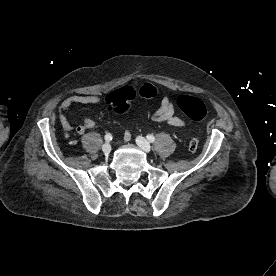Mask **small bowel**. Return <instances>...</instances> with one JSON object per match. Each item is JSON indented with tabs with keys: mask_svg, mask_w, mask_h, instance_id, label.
Masks as SVG:
<instances>
[{
	"mask_svg": "<svg viewBox=\"0 0 276 276\" xmlns=\"http://www.w3.org/2000/svg\"><path fill=\"white\" fill-rule=\"evenodd\" d=\"M102 101L99 95H72L67 97L59 107V119L65 129H70L71 125L67 119V112L74 104L91 105ZM151 120L158 123H164L177 127L184 133H188L190 128L187 123L177 114L174 108L173 99L169 95L162 97L159 108L152 114ZM95 122L90 117H84L80 125L76 127L79 134H84L87 130L92 129ZM131 139V133L126 131L120 142H128Z\"/></svg>",
	"mask_w": 276,
	"mask_h": 276,
	"instance_id": "obj_1",
	"label": "small bowel"
}]
</instances>
